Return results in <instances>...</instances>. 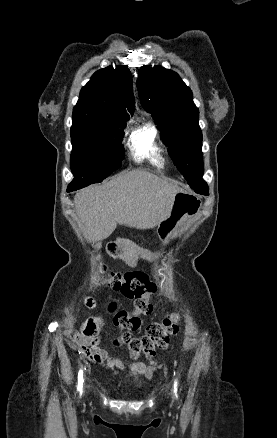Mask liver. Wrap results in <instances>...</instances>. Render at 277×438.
I'll return each instance as SVG.
<instances>
[{
	"label": "liver",
	"mask_w": 277,
	"mask_h": 438,
	"mask_svg": "<svg viewBox=\"0 0 277 438\" xmlns=\"http://www.w3.org/2000/svg\"><path fill=\"white\" fill-rule=\"evenodd\" d=\"M181 192L145 170H132L106 184H93L75 194L74 204L89 242L106 240L117 224L149 230L169 214Z\"/></svg>",
	"instance_id": "6515ba94"
}]
</instances>
